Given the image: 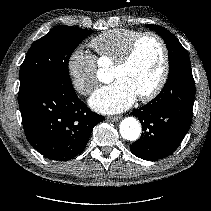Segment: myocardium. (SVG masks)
I'll return each instance as SVG.
<instances>
[{"label": "myocardium", "instance_id": "f54148a6", "mask_svg": "<svg viewBox=\"0 0 211 211\" xmlns=\"http://www.w3.org/2000/svg\"><path fill=\"white\" fill-rule=\"evenodd\" d=\"M148 37L156 40L162 49V70L155 86L149 92L138 96L141 102H149L155 99L167 82L169 76V50L165 40L153 31L141 32L132 40L124 54L114 63L115 68H123L129 65L136 54L140 42Z\"/></svg>", "mask_w": 211, "mask_h": 211}]
</instances>
